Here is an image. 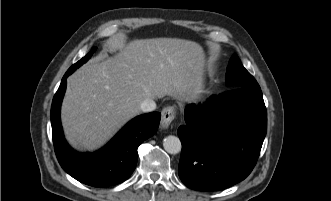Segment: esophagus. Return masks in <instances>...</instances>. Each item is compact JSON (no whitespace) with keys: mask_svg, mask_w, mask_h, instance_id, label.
<instances>
[{"mask_svg":"<svg viewBox=\"0 0 331 201\" xmlns=\"http://www.w3.org/2000/svg\"><path fill=\"white\" fill-rule=\"evenodd\" d=\"M176 109L173 106L165 107L161 112V127L167 129L175 119Z\"/></svg>","mask_w":331,"mask_h":201,"instance_id":"1","label":"esophagus"}]
</instances>
